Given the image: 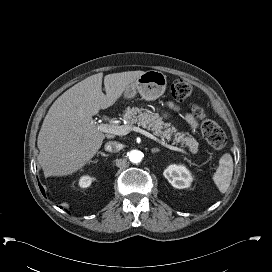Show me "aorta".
<instances>
[{"mask_svg":"<svg viewBox=\"0 0 272 272\" xmlns=\"http://www.w3.org/2000/svg\"><path fill=\"white\" fill-rule=\"evenodd\" d=\"M129 160L132 163H139L142 160V152L138 151V150H132L129 154H128Z\"/></svg>","mask_w":272,"mask_h":272,"instance_id":"1","label":"aorta"}]
</instances>
